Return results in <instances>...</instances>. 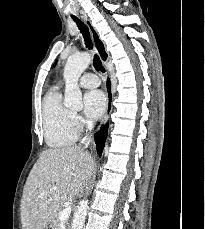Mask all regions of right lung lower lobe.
I'll return each instance as SVG.
<instances>
[{
  "label": "right lung lower lobe",
  "mask_w": 205,
  "mask_h": 229,
  "mask_svg": "<svg viewBox=\"0 0 205 229\" xmlns=\"http://www.w3.org/2000/svg\"><path fill=\"white\" fill-rule=\"evenodd\" d=\"M107 130H108V125L106 124L105 126H102L101 129L94 136L97 153L99 155H101L102 150L104 148V144H105L106 137H107Z\"/></svg>",
  "instance_id": "obj_1"
}]
</instances>
